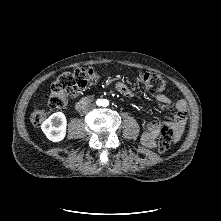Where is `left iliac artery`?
<instances>
[{"mask_svg": "<svg viewBox=\"0 0 221 221\" xmlns=\"http://www.w3.org/2000/svg\"><path fill=\"white\" fill-rule=\"evenodd\" d=\"M103 104H104V106H108V105H109L108 100H104V101H103Z\"/></svg>", "mask_w": 221, "mask_h": 221, "instance_id": "obj_1", "label": "left iliac artery"}]
</instances>
